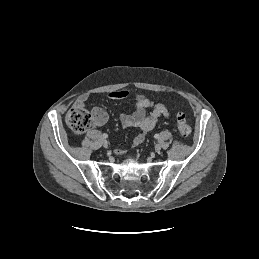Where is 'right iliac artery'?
<instances>
[{
  "mask_svg": "<svg viewBox=\"0 0 259 259\" xmlns=\"http://www.w3.org/2000/svg\"><path fill=\"white\" fill-rule=\"evenodd\" d=\"M102 137H103L104 139H106V138H108V135H107L106 133H104V134L102 135Z\"/></svg>",
  "mask_w": 259,
  "mask_h": 259,
  "instance_id": "1",
  "label": "right iliac artery"
}]
</instances>
